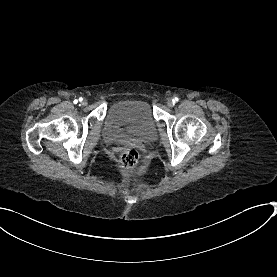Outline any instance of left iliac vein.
<instances>
[{"label":"left iliac vein","instance_id":"left-iliac-vein-1","mask_svg":"<svg viewBox=\"0 0 277 277\" xmlns=\"http://www.w3.org/2000/svg\"><path fill=\"white\" fill-rule=\"evenodd\" d=\"M167 106L168 107H173L174 106V101L172 99L167 100Z\"/></svg>","mask_w":277,"mask_h":277}]
</instances>
